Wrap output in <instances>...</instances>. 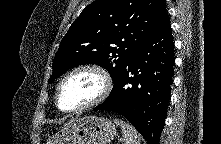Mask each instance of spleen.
Listing matches in <instances>:
<instances>
[{
  "mask_svg": "<svg viewBox=\"0 0 221 144\" xmlns=\"http://www.w3.org/2000/svg\"><path fill=\"white\" fill-rule=\"evenodd\" d=\"M114 123L121 127L125 144H140V136L131 125L121 119H114Z\"/></svg>",
  "mask_w": 221,
  "mask_h": 144,
  "instance_id": "spleen-1",
  "label": "spleen"
}]
</instances>
